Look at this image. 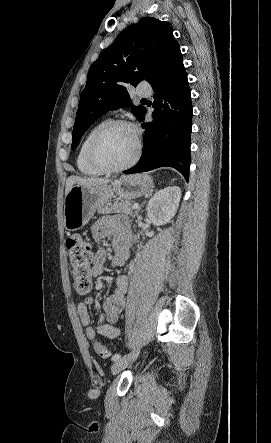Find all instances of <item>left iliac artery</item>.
I'll return each instance as SVG.
<instances>
[{
	"mask_svg": "<svg viewBox=\"0 0 271 443\" xmlns=\"http://www.w3.org/2000/svg\"><path fill=\"white\" fill-rule=\"evenodd\" d=\"M121 358V355L120 354H115V355H113V357H112V361H117V360H119Z\"/></svg>",
	"mask_w": 271,
	"mask_h": 443,
	"instance_id": "obj_1",
	"label": "left iliac artery"
}]
</instances>
